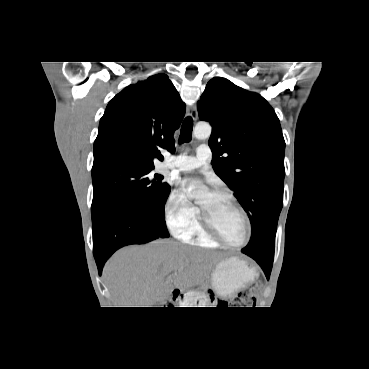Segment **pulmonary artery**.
Wrapping results in <instances>:
<instances>
[{
    "mask_svg": "<svg viewBox=\"0 0 369 369\" xmlns=\"http://www.w3.org/2000/svg\"><path fill=\"white\" fill-rule=\"evenodd\" d=\"M212 153L207 145H201L197 148L195 156L179 155L169 157L164 166L178 171H191L200 168L211 161Z\"/></svg>",
    "mask_w": 369,
    "mask_h": 369,
    "instance_id": "e3ab8cb5",
    "label": "pulmonary artery"
}]
</instances>
